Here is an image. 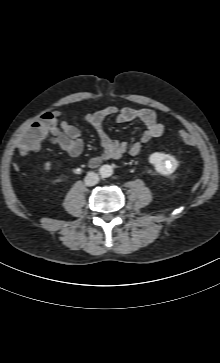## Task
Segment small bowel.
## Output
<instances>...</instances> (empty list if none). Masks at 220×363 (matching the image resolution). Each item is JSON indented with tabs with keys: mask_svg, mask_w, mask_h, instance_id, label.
I'll return each instance as SVG.
<instances>
[{
	"mask_svg": "<svg viewBox=\"0 0 220 363\" xmlns=\"http://www.w3.org/2000/svg\"><path fill=\"white\" fill-rule=\"evenodd\" d=\"M53 116L47 132L49 142L58 146L71 157L80 156L84 144L79 128L67 121H58L59 112H54ZM110 116H115L116 120L121 123L134 120L141 121L145 125V129L140 139L132 144L112 139L103 125L104 120ZM84 119L96 130L102 146V153L89 160L88 165L90 167H97L107 160L119 159L125 153L133 156L138 155L149 141L160 137L164 132V125L158 121L156 113L146 108L107 106L96 112L87 113ZM39 145L28 144L24 134L19 142V151L23 155L37 152Z\"/></svg>",
	"mask_w": 220,
	"mask_h": 363,
	"instance_id": "obj_1",
	"label": "small bowel"
}]
</instances>
